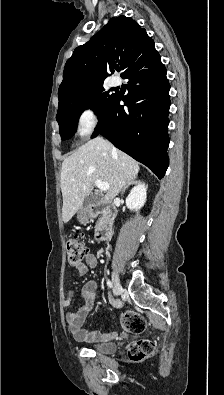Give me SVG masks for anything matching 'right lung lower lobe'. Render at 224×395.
Returning <instances> with one entry per match:
<instances>
[{"label":"right lung lower lobe","instance_id":"right-lung-lower-lobe-1","mask_svg":"<svg viewBox=\"0 0 224 395\" xmlns=\"http://www.w3.org/2000/svg\"><path fill=\"white\" fill-rule=\"evenodd\" d=\"M122 78L129 79L128 94L124 97L115 94L99 118L92 138L103 135L161 179L169 165L170 86L166 68L154 48L134 62Z\"/></svg>","mask_w":224,"mask_h":395}]
</instances>
